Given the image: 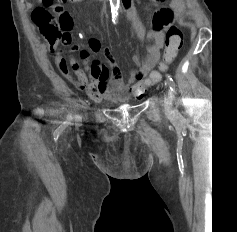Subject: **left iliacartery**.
I'll list each match as a JSON object with an SVG mask.
<instances>
[{
  "instance_id": "obj_1",
  "label": "left iliac artery",
  "mask_w": 237,
  "mask_h": 232,
  "mask_svg": "<svg viewBox=\"0 0 237 232\" xmlns=\"http://www.w3.org/2000/svg\"><path fill=\"white\" fill-rule=\"evenodd\" d=\"M166 78H167V83H168V85H169V87H170V90H171L173 93H175V92H176V85H175L173 79H172L171 76L168 75V74L166 75Z\"/></svg>"
}]
</instances>
